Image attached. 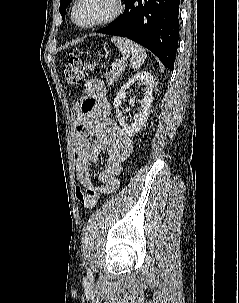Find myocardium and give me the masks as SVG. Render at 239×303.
Returning a JSON list of instances; mask_svg holds the SVG:
<instances>
[{"label":"myocardium","mask_w":239,"mask_h":303,"mask_svg":"<svg viewBox=\"0 0 239 303\" xmlns=\"http://www.w3.org/2000/svg\"><path fill=\"white\" fill-rule=\"evenodd\" d=\"M79 2H80V0H74L73 4L71 6V20L76 26H78L80 28H84V29H91V28L110 24V23L114 22L115 20H117L125 11V4H124L123 0H113L115 8L111 14H109L101 19H98L94 22L87 23V24H81L76 20V8H77V5Z\"/></svg>","instance_id":"obj_1"}]
</instances>
